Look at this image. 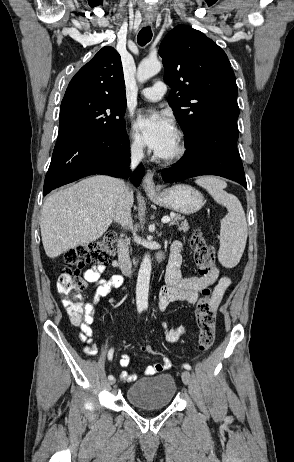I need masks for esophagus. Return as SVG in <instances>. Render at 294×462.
<instances>
[{
  "instance_id": "34e87169",
  "label": "esophagus",
  "mask_w": 294,
  "mask_h": 462,
  "mask_svg": "<svg viewBox=\"0 0 294 462\" xmlns=\"http://www.w3.org/2000/svg\"><path fill=\"white\" fill-rule=\"evenodd\" d=\"M151 22H145L146 25L150 24ZM143 189L146 192H154L156 190V186L153 180V173L148 171L145 175L142 183Z\"/></svg>"
}]
</instances>
